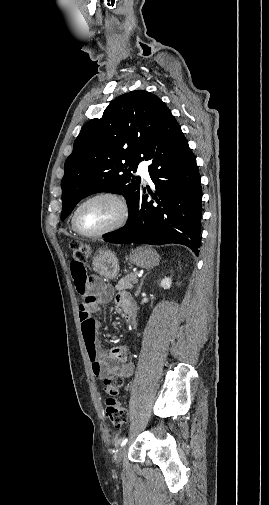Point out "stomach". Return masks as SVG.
I'll return each instance as SVG.
<instances>
[{
	"label": "stomach",
	"instance_id": "1",
	"mask_svg": "<svg viewBox=\"0 0 269 505\" xmlns=\"http://www.w3.org/2000/svg\"><path fill=\"white\" fill-rule=\"evenodd\" d=\"M131 263L141 268H151L159 263L158 253L150 246H140L129 255ZM93 269L107 280L115 279L119 273V262L114 252L101 251L93 258Z\"/></svg>",
	"mask_w": 269,
	"mask_h": 505
}]
</instances>
